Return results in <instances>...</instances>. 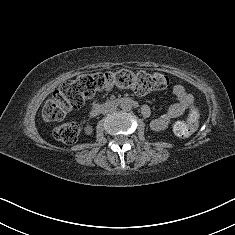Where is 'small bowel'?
I'll return each mask as SVG.
<instances>
[{
    "label": "small bowel",
    "instance_id": "small-bowel-1",
    "mask_svg": "<svg viewBox=\"0 0 235 235\" xmlns=\"http://www.w3.org/2000/svg\"><path fill=\"white\" fill-rule=\"evenodd\" d=\"M173 93L175 94L177 101L174 102L165 113L151 121L150 125L153 130L159 131L166 128L172 119L182 115L183 112L191 106L193 97L182 85H174ZM141 112L143 116L148 117L151 114V109L148 105H143Z\"/></svg>",
    "mask_w": 235,
    "mask_h": 235
}]
</instances>
